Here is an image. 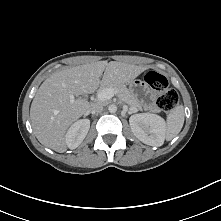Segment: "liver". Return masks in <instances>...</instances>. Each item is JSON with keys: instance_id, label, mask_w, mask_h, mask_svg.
Returning <instances> with one entry per match:
<instances>
[{"instance_id": "liver-1", "label": "liver", "mask_w": 221, "mask_h": 221, "mask_svg": "<svg viewBox=\"0 0 221 221\" xmlns=\"http://www.w3.org/2000/svg\"><path fill=\"white\" fill-rule=\"evenodd\" d=\"M145 70L133 64L98 61L52 74L41 84L31 104L30 119L36 138L56 152H65L67 129L91 107L88 101L74 96L93 93L99 85L129 83Z\"/></svg>"}]
</instances>
